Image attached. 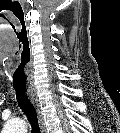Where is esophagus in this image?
Instances as JSON below:
<instances>
[{
    "label": "esophagus",
    "instance_id": "obj_1",
    "mask_svg": "<svg viewBox=\"0 0 120 133\" xmlns=\"http://www.w3.org/2000/svg\"><path fill=\"white\" fill-rule=\"evenodd\" d=\"M27 94H28V97L30 98L31 102L33 103V105L36 108L41 132L46 133L45 126H44V120H43V114L41 111V107H40V103H39V99H38L36 90L35 89H29L27 91Z\"/></svg>",
    "mask_w": 120,
    "mask_h": 133
}]
</instances>
